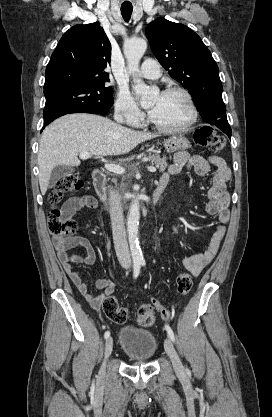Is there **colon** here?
Segmentation results:
<instances>
[{"instance_id": "colon-1", "label": "colon", "mask_w": 272, "mask_h": 417, "mask_svg": "<svg viewBox=\"0 0 272 417\" xmlns=\"http://www.w3.org/2000/svg\"><path fill=\"white\" fill-rule=\"evenodd\" d=\"M194 142L202 147H208L215 152H219L224 147L223 139L210 126L198 127L193 135ZM83 185L77 173H69L64 175L52 189L49 194V201L52 205L51 210L47 215V225L50 234L61 241L59 245L62 248L65 242L75 234L77 225L71 219H65L57 205L61 202L64 195L69 192L79 190ZM193 287L192 276L188 273H180L176 279V289L181 295H187ZM102 309L105 315L114 323L122 324L129 317V310L118 304L113 296L107 297ZM154 309H156L161 318L168 320L171 318V312L165 308L161 302L152 298L149 303L143 304L137 311L136 320L141 326H151L155 320Z\"/></svg>"}]
</instances>
